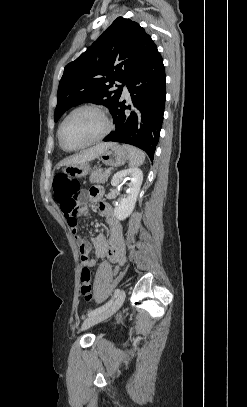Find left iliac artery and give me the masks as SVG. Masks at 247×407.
Here are the masks:
<instances>
[{
	"label": "left iliac artery",
	"instance_id": "obj_1",
	"mask_svg": "<svg viewBox=\"0 0 247 407\" xmlns=\"http://www.w3.org/2000/svg\"><path fill=\"white\" fill-rule=\"evenodd\" d=\"M119 293H120V290L116 289L114 292V296L111 300H109L106 304L102 305L101 307L89 311L88 316L90 317V316L96 315V314L104 311L105 309H107L112 304L114 298H116L119 295Z\"/></svg>",
	"mask_w": 247,
	"mask_h": 407
}]
</instances>
